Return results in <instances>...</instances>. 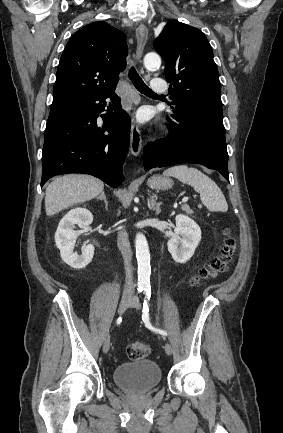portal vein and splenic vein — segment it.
Returning a JSON list of instances; mask_svg holds the SVG:
<instances>
[{"label":"portal vein and splenic vein","mask_w":283,"mask_h":433,"mask_svg":"<svg viewBox=\"0 0 283 433\" xmlns=\"http://www.w3.org/2000/svg\"><path fill=\"white\" fill-rule=\"evenodd\" d=\"M182 202H186V200H182Z\"/></svg>","instance_id":"portal-vein-and-splenic-vein-1"}]
</instances>
